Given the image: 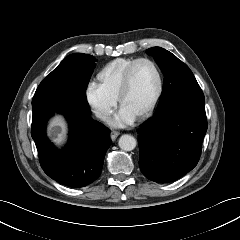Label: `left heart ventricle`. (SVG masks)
Segmentation results:
<instances>
[{"mask_svg": "<svg viewBox=\"0 0 240 240\" xmlns=\"http://www.w3.org/2000/svg\"><path fill=\"white\" fill-rule=\"evenodd\" d=\"M157 85V76L152 65L147 62L137 64L131 75L130 90L121 106L138 117L151 104Z\"/></svg>", "mask_w": 240, "mask_h": 240, "instance_id": "left-heart-ventricle-1", "label": "left heart ventricle"}]
</instances>
